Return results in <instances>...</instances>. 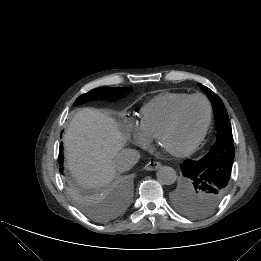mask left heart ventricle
Returning <instances> with one entry per match:
<instances>
[{
  "label": "left heart ventricle",
  "instance_id": "b2bd125f",
  "mask_svg": "<svg viewBox=\"0 0 261 261\" xmlns=\"http://www.w3.org/2000/svg\"><path fill=\"white\" fill-rule=\"evenodd\" d=\"M207 118V106L201 99L190 101L182 109L176 124L164 135L162 146L170 151L190 145L201 133Z\"/></svg>",
  "mask_w": 261,
  "mask_h": 261
}]
</instances>
